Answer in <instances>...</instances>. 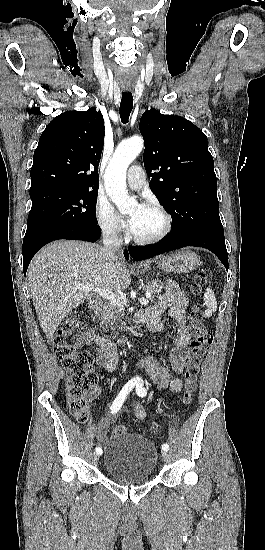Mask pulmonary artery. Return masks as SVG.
I'll return each mask as SVG.
<instances>
[{"mask_svg":"<svg viewBox=\"0 0 265 550\" xmlns=\"http://www.w3.org/2000/svg\"><path fill=\"white\" fill-rule=\"evenodd\" d=\"M127 184L133 190H139L145 185V173L140 165H133L129 168Z\"/></svg>","mask_w":265,"mask_h":550,"instance_id":"obj_1","label":"pulmonary artery"}]
</instances>
